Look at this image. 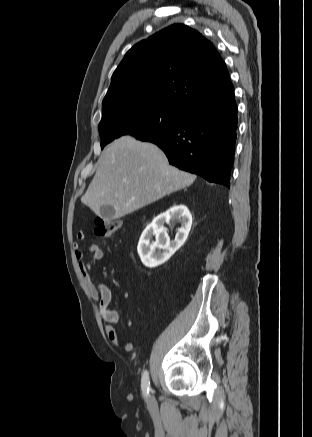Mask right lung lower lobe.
Returning <instances> with one entry per match:
<instances>
[{"mask_svg": "<svg viewBox=\"0 0 312 437\" xmlns=\"http://www.w3.org/2000/svg\"><path fill=\"white\" fill-rule=\"evenodd\" d=\"M238 125L234 87L187 109L181 123L144 141L159 146L169 163L229 187Z\"/></svg>", "mask_w": 312, "mask_h": 437, "instance_id": "1", "label": "right lung lower lobe"}]
</instances>
